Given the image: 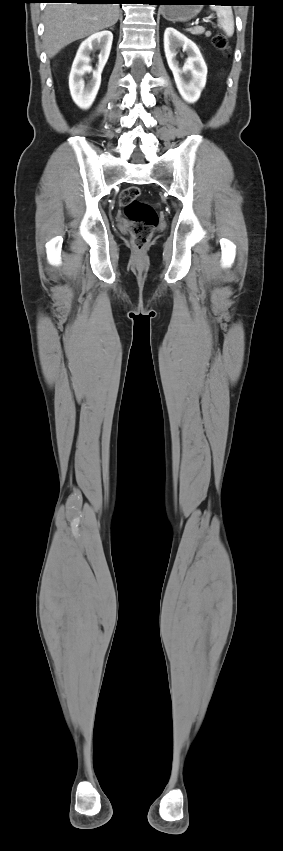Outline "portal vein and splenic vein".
I'll return each instance as SVG.
<instances>
[{"instance_id": "portal-vein-and-splenic-vein-1", "label": "portal vein and splenic vein", "mask_w": 283, "mask_h": 851, "mask_svg": "<svg viewBox=\"0 0 283 851\" xmlns=\"http://www.w3.org/2000/svg\"><path fill=\"white\" fill-rule=\"evenodd\" d=\"M209 21H210L209 19H204V20H203V22H209ZM198 23H199V22H198V20H197V21L195 22V24H198Z\"/></svg>"}]
</instances>
